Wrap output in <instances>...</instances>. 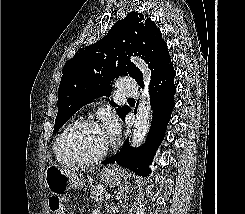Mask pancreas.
<instances>
[{
  "instance_id": "cf45deb5",
  "label": "pancreas",
  "mask_w": 245,
  "mask_h": 214,
  "mask_svg": "<svg viewBox=\"0 0 245 214\" xmlns=\"http://www.w3.org/2000/svg\"><path fill=\"white\" fill-rule=\"evenodd\" d=\"M105 190L99 186H92L90 198L98 203L103 202Z\"/></svg>"
}]
</instances>
